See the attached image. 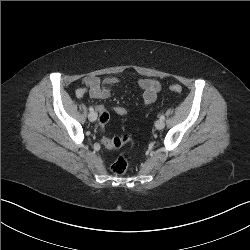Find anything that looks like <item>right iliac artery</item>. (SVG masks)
Wrapping results in <instances>:
<instances>
[{
    "label": "right iliac artery",
    "instance_id": "1",
    "mask_svg": "<svg viewBox=\"0 0 250 250\" xmlns=\"http://www.w3.org/2000/svg\"><path fill=\"white\" fill-rule=\"evenodd\" d=\"M93 110H94L93 107H89L90 112H93Z\"/></svg>",
    "mask_w": 250,
    "mask_h": 250
}]
</instances>
